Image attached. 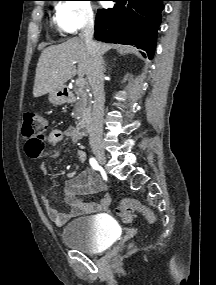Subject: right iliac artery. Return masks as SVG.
Returning a JSON list of instances; mask_svg holds the SVG:
<instances>
[{"instance_id":"right-iliac-artery-1","label":"right iliac artery","mask_w":216,"mask_h":285,"mask_svg":"<svg viewBox=\"0 0 216 285\" xmlns=\"http://www.w3.org/2000/svg\"><path fill=\"white\" fill-rule=\"evenodd\" d=\"M89 162H90V165L92 166V168L94 170H99L100 169V166H99V164H98V162L96 161L95 158H93V157L90 158Z\"/></svg>"}]
</instances>
